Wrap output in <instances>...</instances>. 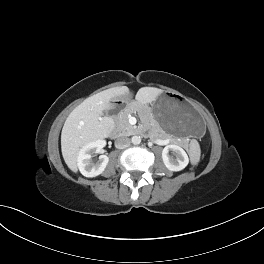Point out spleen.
<instances>
[{"label": "spleen", "instance_id": "obj_1", "mask_svg": "<svg viewBox=\"0 0 264 264\" xmlns=\"http://www.w3.org/2000/svg\"><path fill=\"white\" fill-rule=\"evenodd\" d=\"M199 161V156H197L195 159H194V163H197Z\"/></svg>", "mask_w": 264, "mask_h": 264}]
</instances>
